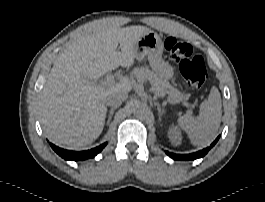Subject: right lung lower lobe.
<instances>
[{
    "instance_id": "1",
    "label": "right lung lower lobe",
    "mask_w": 265,
    "mask_h": 202,
    "mask_svg": "<svg viewBox=\"0 0 265 202\" xmlns=\"http://www.w3.org/2000/svg\"><path fill=\"white\" fill-rule=\"evenodd\" d=\"M107 145V143L101 144L100 146H97L96 148H93L91 150L87 151H81V152H76V151H69V150H64L62 148H59L53 144H50V146L53 148V150L62 158L65 160H74V161H79V160H84V159H89L95 157L101 150Z\"/></svg>"
}]
</instances>
